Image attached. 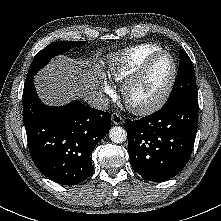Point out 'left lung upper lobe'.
I'll return each mask as SVG.
<instances>
[{
    "label": "left lung upper lobe",
    "mask_w": 221,
    "mask_h": 221,
    "mask_svg": "<svg viewBox=\"0 0 221 221\" xmlns=\"http://www.w3.org/2000/svg\"><path fill=\"white\" fill-rule=\"evenodd\" d=\"M184 97H198V94L193 64L186 52L180 50L179 70L171 94L164 106Z\"/></svg>",
    "instance_id": "left-lung-upper-lobe-1"
}]
</instances>
